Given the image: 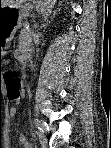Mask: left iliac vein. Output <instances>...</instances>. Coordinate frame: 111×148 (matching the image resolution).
<instances>
[{"mask_svg":"<svg viewBox=\"0 0 111 148\" xmlns=\"http://www.w3.org/2000/svg\"><path fill=\"white\" fill-rule=\"evenodd\" d=\"M42 127L45 128V125L42 124ZM38 138L40 139L41 142L44 141L43 132L41 130L38 132Z\"/></svg>","mask_w":111,"mask_h":148,"instance_id":"1","label":"left iliac vein"}]
</instances>
